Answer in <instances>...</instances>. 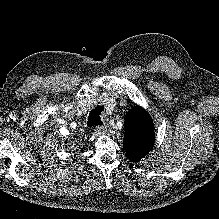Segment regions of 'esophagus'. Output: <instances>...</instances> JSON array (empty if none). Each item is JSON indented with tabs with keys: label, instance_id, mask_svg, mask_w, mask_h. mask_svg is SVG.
I'll list each match as a JSON object with an SVG mask.
<instances>
[{
	"label": "esophagus",
	"instance_id": "esophagus-1",
	"mask_svg": "<svg viewBox=\"0 0 219 219\" xmlns=\"http://www.w3.org/2000/svg\"><path fill=\"white\" fill-rule=\"evenodd\" d=\"M94 131L98 134H103L106 131V125L96 126Z\"/></svg>",
	"mask_w": 219,
	"mask_h": 219
}]
</instances>
